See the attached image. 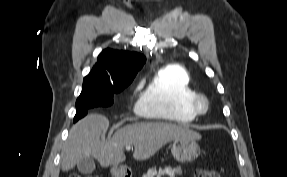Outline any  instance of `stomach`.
<instances>
[{
  "label": "stomach",
  "instance_id": "stomach-1",
  "mask_svg": "<svg viewBox=\"0 0 287 177\" xmlns=\"http://www.w3.org/2000/svg\"><path fill=\"white\" fill-rule=\"evenodd\" d=\"M171 152L177 161L183 163L191 162L198 158L201 150L196 139L185 137L174 140ZM111 174L113 177H125L127 175V170L124 166L114 165L111 168Z\"/></svg>",
  "mask_w": 287,
  "mask_h": 177
}]
</instances>
